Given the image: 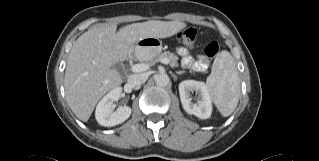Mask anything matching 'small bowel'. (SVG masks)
Wrapping results in <instances>:
<instances>
[{"label":"small bowel","mask_w":319,"mask_h":161,"mask_svg":"<svg viewBox=\"0 0 319 161\" xmlns=\"http://www.w3.org/2000/svg\"><path fill=\"white\" fill-rule=\"evenodd\" d=\"M177 52L181 56V66L183 68L196 70H205L207 68V62L200 56L194 59L187 48L180 47Z\"/></svg>","instance_id":"obj_1"}]
</instances>
